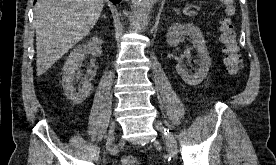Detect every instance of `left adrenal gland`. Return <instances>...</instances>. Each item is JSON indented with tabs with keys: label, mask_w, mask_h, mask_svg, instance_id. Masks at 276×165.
<instances>
[{
	"label": "left adrenal gland",
	"mask_w": 276,
	"mask_h": 165,
	"mask_svg": "<svg viewBox=\"0 0 276 165\" xmlns=\"http://www.w3.org/2000/svg\"><path fill=\"white\" fill-rule=\"evenodd\" d=\"M175 11L178 13L179 10H178V9H175Z\"/></svg>",
	"instance_id": "left-adrenal-gland-1"
}]
</instances>
